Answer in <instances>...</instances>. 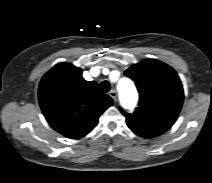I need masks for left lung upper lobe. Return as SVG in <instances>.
I'll return each mask as SVG.
<instances>
[{
  "mask_svg": "<svg viewBox=\"0 0 212 183\" xmlns=\"http://www.w3.org/2000/svg\"><path fill=\"white\" fill-rule=\"evenodd\" d=\"M125 75L136 82L140 93L135 112H123L128 127L144 138L166 132L176 121L184 98L177 73L161 61L148 59L127 69Z\"/></svg>",
  "mask_w": 212,
  "mask_h": 183,
  "instance_id": "obj_1",
  "label": "left lung upper lobe"
}]
</instances>
